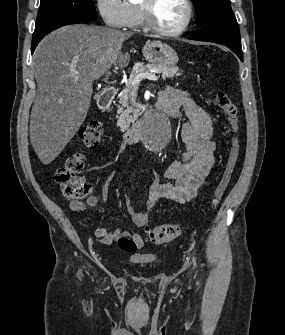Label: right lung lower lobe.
Listing matches in <instances>:
<instances>
[{
  "label": "right lung lower lobe",
  "mask_w": 285,
  "mask_h": 335,
  "mask_svg": "<svg viewBox=\"0 0 285 335\" xmlns=\"http://www.w3.org/2000/svg\"><path fill=\"white\" fill-rule=\"evenodd\" d=\"M92 19L82 16L75 15H67V16H59L53 18L41 25L35 26V31L32 37V45H31V53L34 52L36 46L41 41V39L50 33L51 31L60 28L65 25L74 24V23H88Z\"/></svg>",
  "instance_id": "1"
}]
</instances>
